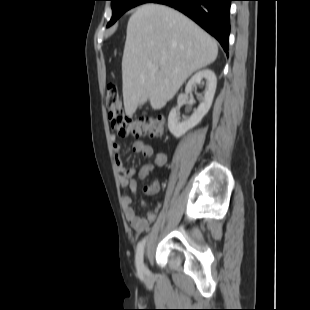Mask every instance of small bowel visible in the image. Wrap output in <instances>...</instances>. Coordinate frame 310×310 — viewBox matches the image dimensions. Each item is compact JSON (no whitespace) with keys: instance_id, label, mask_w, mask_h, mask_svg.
Returning <instances> with one entry per match:
<instances>
[{"instance_id":"obj_1","label":"small bowel","mask_w":310,"mask_h":310,"mask_svg":"<svg viewBox=\"0 0 310 310\" xmlns=\"http://www.w3.org/2000/svg\"><path fill=\"white\" fill-rule=\"evenodd\" d=\"M112 150L115 156V162L118 168V178L120 186L127 188L130 194H125L121 197V205L123 208L124 216L128 224L137 232H143L149 223L156 219V211H148L144 216L137 215L135 209L132 207L133 195L138 192V183L134 178L137 173L140 180L145 179L149 173L155 170L156 167H162L167 162V155L163 152L156 151L151 145L141 141L135 140L133 142V151L150 158L152 163L144 164L138 172L133 168H126L121 158V145L118 142V137L112 135ZM158 191L157 186H144L143 192L147 195L154 194ZM144 206L145 203H142Z\"/></svg>"}]
</instances>
